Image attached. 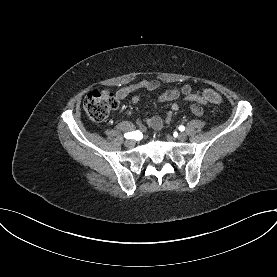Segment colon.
Wrapping results in <instances>:
<instances>
[{
	"instance_id": "1",
	"label": "colon",
	"mask_w": 277,
	"mask_h": 277,
	"mask_svg": "<svg viewBox=\"0 0 277 277\" xmlns=\"http://www.w3.org/2000/svg\"><path fill=\"white\" fill-rule=\"evenodd\" d=\"M201 96L215 104L220 103L222 100L221 96L211 89L203 90ZM116 107L117 101L115 96L108 90H92L84 99V109L89 118L95 122L105 120Z\"/></svg>"
}]
</instances>
